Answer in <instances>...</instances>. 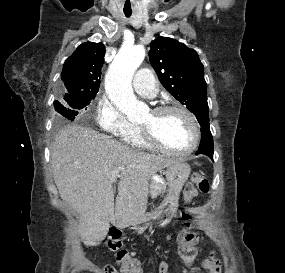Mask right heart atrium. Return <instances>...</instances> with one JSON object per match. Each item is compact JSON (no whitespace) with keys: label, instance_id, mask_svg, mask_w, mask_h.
<instances>
[{"label":"right heart atrium","instance_id":"obj_1","mask_svg":"<svg viewBox=\"0 0 285 273\" xmlns=\"http://www.w3.org/2000/svg\"><path fill=\"white\" fill-rule=\"evenodd\" d=\"M96 123L98 127L115 137L123 138L136 130L121 112L107 99H100L96 107Z\"/></svg>","mask_w":285,"mask_h":273}]
</instances>
